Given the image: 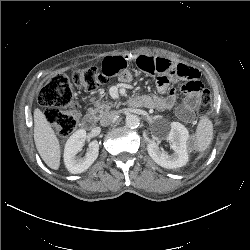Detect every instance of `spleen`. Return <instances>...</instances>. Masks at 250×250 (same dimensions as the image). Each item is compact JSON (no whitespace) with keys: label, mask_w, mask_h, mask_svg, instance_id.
<instances>
[{"label":"spleen","mask_w":250,"mask_h":250,"mask_svg":"<svg viewBox=\"0 0 250 250\" xmlns=\"http://www.w3.org/2000/svg\"><path fill=\"white\" fill-rule=\"evenodd\" d=\"M213 139L212 121L203 117L200 119L195 134V149L198 152H204L211 144Z\"/></svg>","instance_id":"obj_1"}]
</instances>
